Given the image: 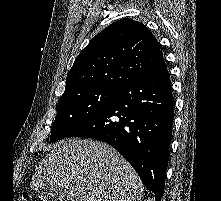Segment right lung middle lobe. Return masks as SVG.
I'll list each match as a JSON object with an SVG mask.
<instances>
[{"mask_svg": "<svg viewBox=\"0 0 221 201\" xmlns=\"http://www.w3.org/2000/svg\"><path fill=\"white\" fill-rule=\"evenodd\" d=\"M118 90L102 87L87 88L64 94L58 100L57 115L50 141L68 137L75 129L101 111Z\"/></svg>", "mask_w": 221, "mask_h": 201, "instance_id": "right-lung-middle-lobe-1", "label": "right lung middle lobe"}]
</instances>
